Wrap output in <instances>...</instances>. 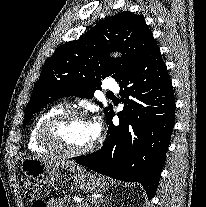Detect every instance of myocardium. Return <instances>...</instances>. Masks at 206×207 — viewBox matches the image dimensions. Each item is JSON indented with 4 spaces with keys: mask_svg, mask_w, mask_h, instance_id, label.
I'll return each instance as SVG.
<instances>
[{
    "mask_svg": "<svg viewBox=\"0 0 206 207\" xmlns=\"http://www.w3.org/2000/svg\"><path fill=\"white\" fill-rule=\"evenodd\" d=\"M72 119H80L88 123H91L89 117L81 111L78 110L59 111L53 114L52 116H50L49 118H47L42 123L38 131V142L42 146L54 151L55 153L61 154L66 157H80L92 152L96 146L95 141H92L88 146L79 150L66 149L57 141L54 135L55 128L58 125L62 124L63 122Z\"/></svg>",
    "mask_w": 206,
    "mask_h": 207,
    "instance_id": "obj_1",
    "label": "myocardium"
}]
</instances>
